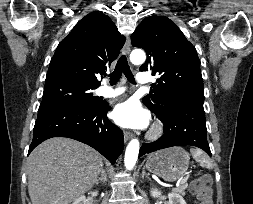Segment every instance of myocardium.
Returning <instances> with one entry per match:
<instances>
[{"instance_id":"myocardium-1","label":"myocardium","mask_w":253,"mask_h":204,"mask_svg":"<svg viewBox=\"0 0 253 204\" xmlns=\"http://www.w3.org/2000/svg\"><path fill=\"white\" fill-rule=\"evenodd\" d=\"M164 132L163 125L160 122H155L147 133V139L154 141L159 139Z\"/></svg>"}]
</instances>
